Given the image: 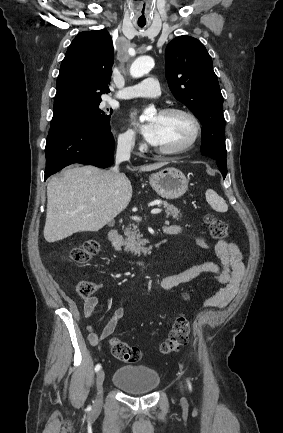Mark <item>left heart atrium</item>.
<instances>
[{"mask_svg":"<svg viewBox=\"0 0 283 433\" xmlns=\"http://www.w3.org/2000/svg\"><path fill=\"white\" fill-rule=\"evenodd\" d=\"M139 132L150 145L151 148L157 149L160 143V132L159 126L156 121H152L148 124L138 125Z\"/></svg>","mask_w":283,"mask_h":433,"instance_id":"left-heart-atrium-1","label":"left heart atrium"}]
</instances>
